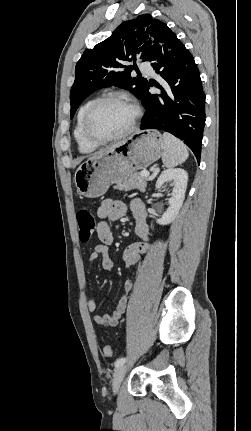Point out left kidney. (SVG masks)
Here are the masks:
<instances>
[{"label": "left kidney", "instance_id": "left-kidney-1", "mask_svg": "<svg viewBox=\"0 0 251 431\" xmlns=\"http://www.w3.org/2000/svg\"><path fill=\"white\" fill-rule=\"evenodd\" d=\"M166 182H172V195L169 207L156 222L160 225L170 224L178 215L182 207L188 182V174L181 168L164 170L157 179L156 188L160 189Z\"/></svg>", "mask_w": 251, "mask_h": 431}]
</instances>
